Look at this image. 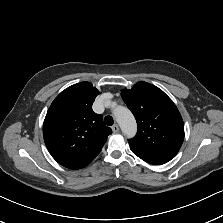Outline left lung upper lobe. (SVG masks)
I'll list each match as a JSON object with an SVG mask.
<instances>
[{
	"mask_svg": "<svg viewBox=\"0 0 223 223\" xmlns=\"http://www.w3.org/2000/svg\"><path fill=\"white\" fill-rule=\"evenodd\" d=\"M121 96L132 111L138 131L129 145L150 164H164L178 153L184 140L182 117L172 100L158 87L140 81Z\"/></svg>",
	"mask_w": 223,
	"mask_h": 223,
	"instance_id": "left-lung-upper-lobe-1",
	"label": "left lung upper lobe"
}]
</instances>
